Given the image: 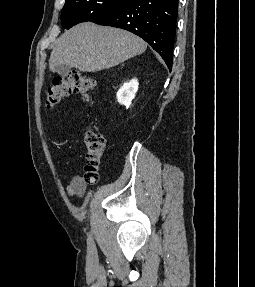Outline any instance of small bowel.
<instances>
[{
	"mask_svg": "<svg viewBox=\"0 0 255 287\" xmlns=\"http://www.w3.org/2000/svg\"><path fill=\"white\" fill-rule=\"evenodd\" d=\"M85 190H86V182L80 176L74 177L67 187V192L70 197L74 196L81 197L84 194Z\"/></svg>",
	"mask_w": 255,
	"mask_h": 287,
	"instance_id": "obj_1",
	"label": "small bowel"
}]
</instances>
